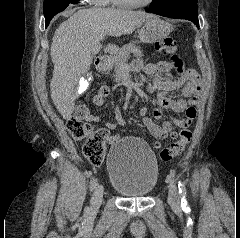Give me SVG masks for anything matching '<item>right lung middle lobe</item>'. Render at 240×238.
Segmentation results:
<instances>
[{
    "mask_svg": "<svg viewBox=\"0 0 240 238\" xmlns=\"http://www.w3.org/2000/svg\"><path fill=\"white\" fill-rule=\"evenodd\" d=\"M76 4L77 0H44V16L46 27L48 26L51 19L59 12L63 11L68 5Z\"/></svg>",
    "mask_w": 240,
    "mask_h": 238,
    "instance_id": "obj_1",
    "label": "right lung middle lobe"
}]
</instances>
